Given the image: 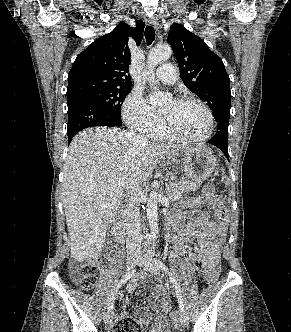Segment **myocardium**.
I'll return each mask as SVG.
<instances>
[{"label":"myocardium","mask_w":291,"mask_h":332,"mask_svg":"<svg viewBox=\"0 0 291 332\" xmlns=\"http://www.w3.org/2000/svg\"><path fill=\"white\" fill-rule=\"evenodd\" d=\"M177 102H194L198 104L205 112L207 118H208V130L207 132L200 136V137H191L184 135L180 132H178L172 125L171 123L167 120V118L163 115V125H164V130L174 139L181 140V141H187V142H204L208 140L214 133L215 130V119L214 115L209 108V106L203 102L201 99L194 97V96H189V95H182L178 96L174 99Z\"/></svg>","instance_id":"myocardium-1"}]
</instances>
